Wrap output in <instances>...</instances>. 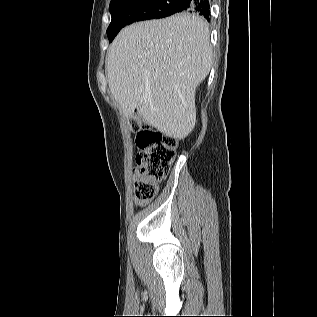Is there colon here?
I'll use <instances>...</instances> for the list:
<instances>
[{
    "label": "colon",
    "mask_w": 317,
    "mask_h": 317,
    "mask_svg": "<svg viewBox=\"0 0 317 317\" xmlns=\"http://www.w3.org/2000/svg\"><path fill=\"white\" fill-rule=\"evenodd\" d=\"M136 133L137 175L134 180L135 197L148 201L158 192L160 182L167 176L175 158L177 140L143 124L138 119L131 121Z\"/></svg>",
    "instance_id": "5ec220e1"
}]
</instances>
